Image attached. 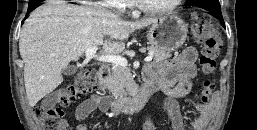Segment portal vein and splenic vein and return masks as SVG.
Returning a JSON list of instances; mask_svg holds the SVG:
<instances>
[{
	"mask_svg": "<svg viewBox=\"0 0 257 130\" xmlns=\"http://www.w3.org/2000/svg\"><path fill=\"white\" fill-rule=\"evenodd\" d=\"M98 50V47L94 46L91 48H88L85 51V55L87 59H93L95 58L96 60L100 62H107V63H112L114 65H120V66H127L128 62L124 57L117 56V55H102V56H96V52ZM153 59V53L151 52L149 56H147L144 61L145 62H151Z\"/></svg>",
	"mask_w": 257,
	"mask_h": 130,
	"instance_id": "portal-vein-and-splenic-vein-1",
	"label": "portal vein and splenic vein"
}]
</instances>
